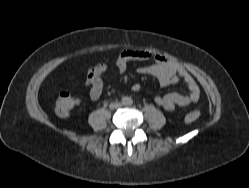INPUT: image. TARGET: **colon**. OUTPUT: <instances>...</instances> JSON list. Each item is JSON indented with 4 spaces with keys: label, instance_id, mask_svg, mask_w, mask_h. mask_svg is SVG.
I'll list each match as a JSON object with an SVG mask.
<instances>
[{
    "label": "colon",
    "instance_id": "colon-1",
    "mask_svg": "<svg viewBox=\"0 0 249 188\" xmlns=\"http://www.w3.org/2000/svg\"><path fill=\"white\" fill-rule=\"evenodd\" d=\"M79 103L80 100L78 97L72 95L68 91H62L56 100L55 110L59 116L66 117L79 105ZM199 116L200 112L193 110L185 115L184 121L187 124H191L197 121Z\"/></svg>",
    "mask_w": 249,
    "mask_h": 188
}]
</instances>
